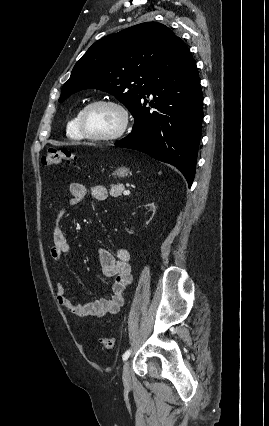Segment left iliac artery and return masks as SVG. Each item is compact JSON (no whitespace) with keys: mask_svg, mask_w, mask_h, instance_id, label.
Listing matches in <instances>:
<instances>
[{"mask_svg":"<svg viewBox=\"0 0 269 426\" xmlns=\"http://www.w3.org/2000/svg\"><path fill=\"white\" fill-rule=\"evenodd\" d=\"M130 353H131V350L129 349L123 354V356H122L123 361L128 359V357L130 356Z\"/></svg>","mask_w":269,"mask_h":426,"instance_id":"44dca946","label":"left iliac artery"}]
</instances>
